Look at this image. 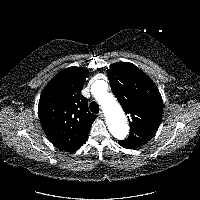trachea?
Masks as SVG:
<instances>
[{
	"instance_id": "3493384b",
	"label": "trachea",
	"mask_w": 200,
	"mask_h": 200,
	"mask_svg": "<svg viewBox=\"0 0 200 200\" xmlns=\"http://www.w3.org/2000/svg\"><path fill=\"white\" fill-rule=\"evenodd\" d=\"M89 107H90L91 112L95 114L99 113V110H100L99 105L95 101L91 102Z\"/></svg>"
}]
</instances>
